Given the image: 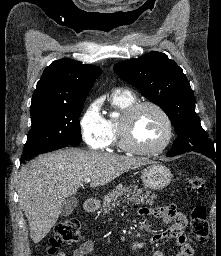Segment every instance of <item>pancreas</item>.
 <instances>
[{
	"instance_id": "cf45deb5",
	"label": "pancreas",
	"mask_w": 221,
	"mask_h": 256,
	"mask_svg": "<svg viewBox=\"0 0 221 256\" xmlns=\"http://www.w3.org/2000/svg\"><path fill=\"white\" fill-rule=\"evenodd\" d=\"M124 197L123 202L139 205V204H153L154 195L150 191L143 192L142 189H136L133 186H123L119 184L112 192L104 197L103 212L107 214L112 211L115 205L120 203L119 198Z\"/></svg>"
}]
</instances>
